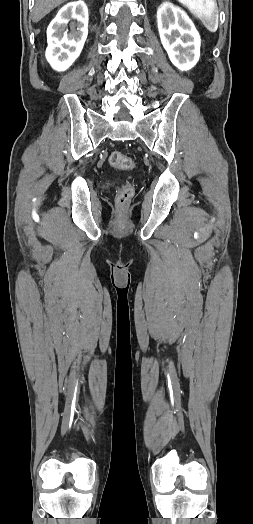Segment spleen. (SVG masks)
Returning a JSON list of instances; mask_svg holds the SVG:
<instances>
[{"label":"spleen","mask_w":253,"mask_h":524,"mask_svg":"<svg viewBox=\"0 0 253 524\" xmlns=\"http://www.w3.org/2000/svg\"><path fill=\"white\" fill-rule=\"evenodd\" d=\"M182 5L196 16L210 31L218 29V9L215 0H178Z\"/></svg>","instance_id":"1"}]
</instances>
